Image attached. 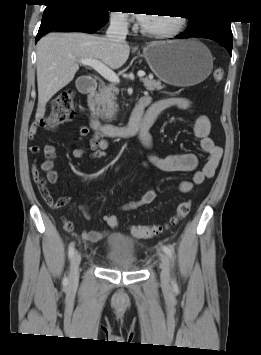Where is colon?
I'll return each mask as SVG.
<instances>
[{
	"label": "colon",
	"instance_id": "obj_1",
	"mask_svg": "<svg viewBox=\"0 0 261 355\" xmlns=\"http://www.w3.org/2000/svg\"><path fill=\"white\" fill-rule=\"evenodd\" d=\"M224 78V70L217 68L213 72V79L220 82ZM73 91L70 88L61 90L51 102L50 112L44 119L36 122L38 127L53 129L59 125L70 122L74 117ZM191 210V201L181 202L168 223L162 225H132L131 234L140 239H149L158 236L165 229L177 225Z\"/></svg>",
	"mask_w": 261,
	"mask_h": 355
}]
</instances>
